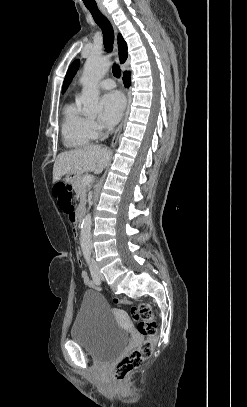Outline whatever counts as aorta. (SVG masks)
<instances>
[{"label": "aorta", "mask_w": 247, "mask_h": 407, "mask_svg": "<svg viewBox=\"0 0 247 407\" xmlns=\"http://www.w3.org/2000/svg\"><path fill=\"white\" fill-rule=\"evenodd\" d=\"M110 68V61L107 57L90 56L85 65L81 82L83 85L79 101L83 105V113L87 116H93L102 111L99 104L98 83L105 76ZM91 226L92 218L88 213L81 224L80 244L85 256L91 251Z\"/></svg>", "instance_id": "aorta-1"}]
</instances>
